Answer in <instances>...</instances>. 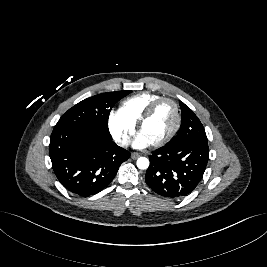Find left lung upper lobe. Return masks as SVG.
<instances>
[{
    "instance_id": "obj_1",
    "label": "left lung upper lobe",
    "mask_w": 267,
    "mask_h": 267,
    "mask_svg": "<svg viewBox=\"0 0 267 267\" xmlns=\"http://www.w3.org/2000/svg\"><path fill=\"white\" fill-rule=\"evenodd\" d=\"M182 112L181 128L175 139L168 145H177L185 142H201L208 144L203 125L194 112L184 103L180 102Z\"/></svg>"
}]
</instances>
